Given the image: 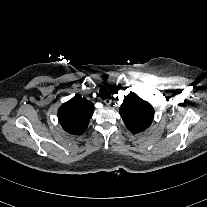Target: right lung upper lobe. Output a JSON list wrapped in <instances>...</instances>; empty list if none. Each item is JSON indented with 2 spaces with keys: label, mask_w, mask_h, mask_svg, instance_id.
<instances>
[{
  "label": "right lung upper lobe",
  "mask_w": 207,
  "mask_h": 207,
  "mask_svg": "<svg viewBox=\"0 0 207 207\" xmlns=\"http://www.w3.org/2000/svg\"><path fill=\"white\" fill-rule=\"evenodd\" d=\"M94 111L93 104L75 95L61 105L58 110V119L65 131L70 134H81L87 128Z\"/></svg>",
  "instance_id": "cb5924a9"
}]
</instances>
